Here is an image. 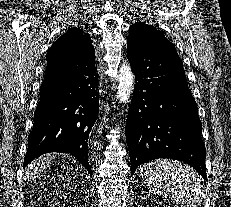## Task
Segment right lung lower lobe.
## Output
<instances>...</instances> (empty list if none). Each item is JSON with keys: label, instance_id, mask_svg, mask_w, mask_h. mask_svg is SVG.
<instances>
[{"label": "right lung lower lobe", "instance_id": "1", "mask_svg": "<svg viewBox=\"0 0 231 207\" xmlns=\"http://www.w3.org/2000/svg\"><path fill=\"white\" fill-rule=\"evenodd\" d=\"M95 55L76 69H46L24 167L42 154L73 155L92 176L88 139L99 112Z\"/></svg>", "mask_w": 231, "mask_h": 207}]
</instances>
